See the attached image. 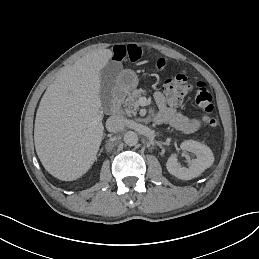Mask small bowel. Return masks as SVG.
Segmentation results:
<instances>
[{
    "mask_svg": "<svg viewBox=\"0 0 259 259\" xmlns=\"http://www.w3.org/2000/svg\"><path fill=\"white\" fill-rule=\"evenodd\" d=\"M144 53V47L138 44H121L112 49V59L115 62L138 61ZM154 99L159 109L155 121L157 123L169 124L184 133H193L201 125L197 118H191L169 105L165 95L156 91Z\"/></svg>",
    "mask_w": 259,
    "mask_h": 259,
    "instance_id": "c3829d8e",
    "label": "small bowel"
}]
</instances>
